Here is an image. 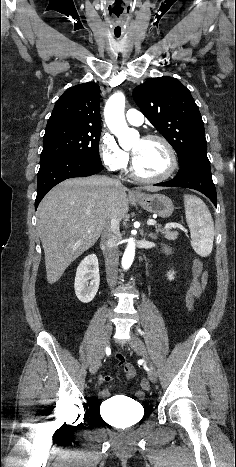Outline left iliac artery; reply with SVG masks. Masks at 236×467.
I'll return each mask as SVG.
<instances>
[{
	"label": "left iliac artery",
	"instance_id": "left-iliac-artery-1",
	"mask_svg": "<svg viewBox=\"0 0 236 467\" xmlns=\"http://www.w3.org/2000/svg\"><path fill=\"white\" fill-rule=\"evenodd\" d=\"M138 332H139L140 334H143V332H142L140 329H138Z\"/></svg>",
	"mask_w": 236,
	"mask_h": 467
}]
</instances>
